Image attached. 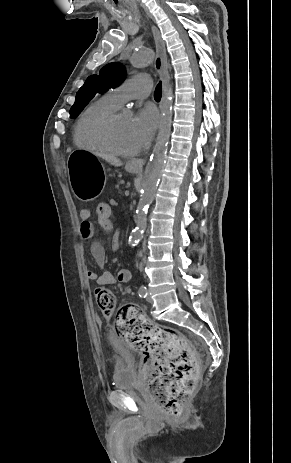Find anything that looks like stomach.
Wrapping results in <instances>:
<instances>
[{"label": "stomach", "instance_id": "obj_1", "mask_svg": "<svg viewBox=\"0 0 291 463\" xmlns=\"http://www.w3.org/2000/svg\"><path fill=\"white\" fill-rule=\"evenodd\" d=\"M69 183L74 195L81 201H92L101 193L104 172L98 157L84 150L72 151L67 159ZM126 170L135 173L137 168L126 165Z\"/></svg>", "mask_w": 291, "mask_h": 463}]
</instances>
